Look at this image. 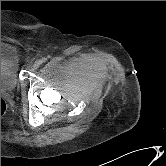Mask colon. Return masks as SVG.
Here are the masks:
<instances>
[{"label":"colon","mask_w":166,"mask_h":166,"mask_svg":"<svg viewBox=\"0 0 166 166\" xmlns=\"http://www.w3.org/2000/svg\"><path fill=\"white\" fill-rule=\"evenodd\" d=\"M7 109V105L5 103V101L1 98V116H3L6 112Z\"/></svg>","instance_id":"5ec220e1"}]
</instances>
